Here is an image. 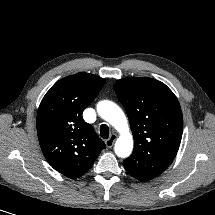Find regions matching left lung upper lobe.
<instances>
[{"instance_id":"obj_1","label":"left lung upper lobe","mask_w":215,"mask_h":215,"mask_svg":"<svg viewBox=\"0 0 215 215\" xmlns=\"http://www.w3.org/2000/svg\"><path fill=\"white\" fill-rule=\"evenodd\" d=\"M115 92L126 109L134 137L132 155L123 164L142 182L159 176L174 160L182 138L183 117L173 92L149 77L118 80Z\"/></svg>"}]
</instances>
